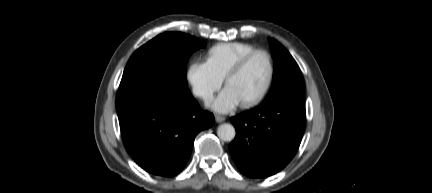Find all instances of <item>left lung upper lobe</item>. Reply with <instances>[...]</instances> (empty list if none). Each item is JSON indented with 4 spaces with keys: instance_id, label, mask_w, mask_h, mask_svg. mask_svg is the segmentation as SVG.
<instances>
[{
    "instance_id": "5c2ea615",
    "label": "left lung upper lobe",
    "mask_w": 432,
    "mask_h": 193,
    "mask_svg": "<svg viewBox=\"0 0 432 193\" xmlns=\"http://www.w3.org/2000/svg\"><path fill=\"white\" fill-rule=\"evenodd\" d=\"M274 58L272 87L262 104L272 101L304 105V83L299 66L290 53L275 39L269 38Z\"/></svg>"
}]
</instances>
